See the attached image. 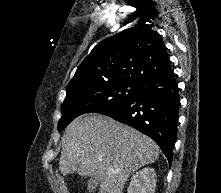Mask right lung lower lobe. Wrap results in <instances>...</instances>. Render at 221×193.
I'll list each match as a JSON object with an SVG mask.
<instances>
[{"label":"right lung lower lobe","mask_w":221,"mask_h":193,"mask_svg":"<svg viewBox=\"0 0 221 193\" xmlns=\"http://www.w3.org/2000/svg\"><path fill=\"white\" fill-rule=\"evenodd\" d=\"M179 89L172 72L145 80L138 94L99 112L148 135L172 163L179 118Z\"/></svg>","instance_id":"1"}]
</instances>
